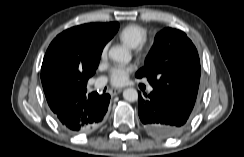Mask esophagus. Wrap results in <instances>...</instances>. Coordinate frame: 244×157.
I'll return each mask as SVG.
<instances>
[{
  "mask_svg": "<svg viewBox=\"0 0 244 157\" xmlns=\"http://www.w3.org/2000/svg\"><path fill=\"white\" fill-rule=\"evenodd\" d=\"M122 90H123V88L112 89V90L110 91V94H111L112 96H115V95L119 94Z\"/></svg>",
  "mask_w": 244,
  "mask_h": 157,
  "instance_id": "1",
  "label": "esophagus"
}]
</instances>
